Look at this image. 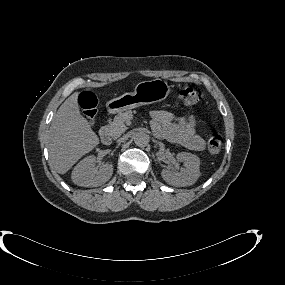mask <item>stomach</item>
Here are the masks:
<instances>
[{"label": "stomach", "instance_id": "0dacf381", "mask_svg": "<svg viewBox=\"0 0 285 285\" xmlns=\"http://www.w3.org/2000/svg\"><path fill=\"white\" fill-rule=\"evenodd\" d=\"M170 86L162 79L139 82L133 92L125 93L106 103L110 114L121 113L142 105L160 102L168 97Z\"/></svg>", "mask_w": 285, "mask_h": 285}]
</instances>
